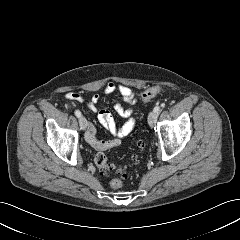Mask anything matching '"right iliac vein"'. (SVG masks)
<instances>
[{"label": "right iliac vein", "mask_w": 240, "mask_h": 240, "mask_svg": "<svg viewBox=\"0 0 240 240\" xmlns=\"http://www.w3.org/2000/svg\"><path fill=\"white\" fill-rule=\"evenodd\" d=\"M87 124H88V122H87L86 118L81 116L79 118V125H80L81 129L85 130L87 128Z\"/></svg>", "instance_id": "1"}]
</instances>
